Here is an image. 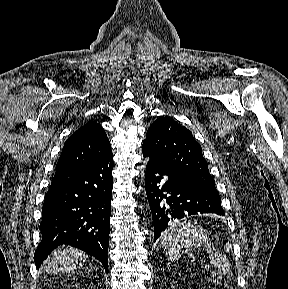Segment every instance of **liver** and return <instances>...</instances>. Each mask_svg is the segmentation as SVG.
<instances>
[{
  "label": "liver",
  "mask_w": 288,
  "mask_h": 289,
  "mask_svg": "<svg viewBox=\"0 0 288 289\" xmlns=\"http://www.w3.org/2000/svg\"><path fill=\"white\" fill-rule=\"evenodd\" d=\"M87 257L84 252L76 248H57L47 258L44 268L53 274L71 272L86 262Z\"/></svg>",
  "instance_id": "liver-1"
}]
</instances>
